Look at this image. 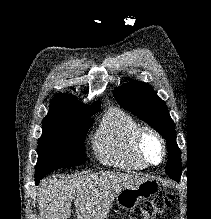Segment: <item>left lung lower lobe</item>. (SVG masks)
Returning <instances> with one entry per match:
<instances>
[{
	"mask_svg": "<svg viewBox=\"0 0 211 219\" xmlns=\"http://www.w3.org/2000/svg\"><path fill=\"white\" fill-rule=\"evenodd\" d=\"M179 162H181V154L175 150H170L168 154V163L174 165Z\"/></svg>",
	"mask_w": 211,
	"mask_h": 219,
	"instance_id": "obj_1",
	"label": "left lung lower lobe"
}]
</instances>
